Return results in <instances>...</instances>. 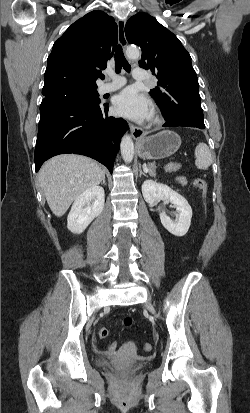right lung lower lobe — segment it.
I'll use <instances>...</instances> for the list:
<instances>
[{
    "label": "right lung lower lobe",
    "mask_w": 250,
    "mask_h": 413,
    "mask_svg": "<svg viewBox=\"0 0 250 413\" xmlns=\"http://www.w3.org/2000/svg\"><path fill=\"white\" fill-rule=\"evenodd\" d=\"M108 105L82 99H43L35 147V168L52 156L75 153L91 157L113 172L123 134L122 118L107 117Z\"/></svg>",
    "instance_id": "98d812e1"
}]
</instances>
